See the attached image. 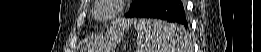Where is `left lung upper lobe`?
<instances>
[{
    "label": "left lung upper lobe",
    "mask_w": 261,
    "mask_h": 52,
    "mask_svg": "<svg viewBox=\"0 0 261 52\" xmlns=\"http://www.w3.org/2000/svg\"><path fill=\"white\" fill-rule=\"evenodd\" d=\"M153 0H135L131 4L130 11L126 14V17H135L142 9L148 6Z\"/></svg>",
    "instance_id": "5c2ea615"
}]
</instances>
